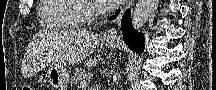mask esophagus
Masks as SVG:
<instances>
[{"instance_id": "obj_1", "label": "esophagus", "mask_w": 216, "mask_h": 90, "mask_svg": "<svg viewBox=\"0 0 216 90\" xmlns=\"http://www.w3.org/2000/svg\"><path fill=\"white\" fill-rule=\"evenodd\" d=\"M133 4V0H130L128 3H126V5L124 6L123 10L121 13H123V11L126 9V8H129L131 5ZM120 20V17L119 19H117L113 25V27L109 28L105 33H104V40H107V41H115V42H119L120 40V37L118 35V30H119V22Z\"/></svg>"}]
</instances>
